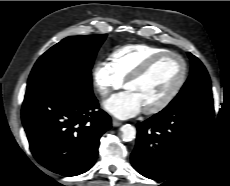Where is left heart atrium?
Listing matches in <instances>:
<instances>
[{"label":"left heart atrium","mask_w":230,"mask_h":186,"mask_svg":"<svg viewBox=\"0 0 230 186\" xmlns=\"http://www.w3.org/2000/svg\"><path fill=\"white\" fill-rule=\"evenodd\" d=\"M104 108L115 117L121 119L133 117L143 109L138 97L129 90L109 98L105 101Z\"/></svg>","instance_id":"39dd6f15"}]
</instances>
